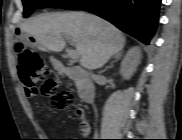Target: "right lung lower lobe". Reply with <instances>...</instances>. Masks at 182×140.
<instances>
[{
    "label": "right lung lower lobe",
    "instance_id": "right-lung-lower-lobe-1",
    "mask_svg": "<svg viewBox=\"0 0 182 140\" xmlns=\"http://www.w3.org/2000/svg\"><path fill=\"white\" fill-rule=\"evenodd\" d=\"M161 0H95L83 10L94 13L149 44L159 18Z\"/></svg>",
    "mask_w": 182,
    "mask_h": 140
}]
</instances>
